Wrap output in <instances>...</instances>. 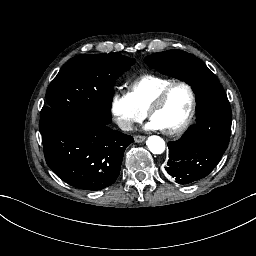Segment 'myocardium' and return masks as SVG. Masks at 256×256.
<instances>
[{
  "mask_svg": "<svg viewBox=\"0 0 256 256\" xmlns=\"http://www.w3.org/2000/svg\"><path fill=\"white\" fill-rule=\"evenodd\" d=\"M177 84L183 85L188 90V92L190 94V98H191V106H190L189 113H188L187 117L185 118V120L180 125L175 127L173 130H171L170 132H167L168 135H174V134L181 133L182 131H184L188 127L189 123L191 122V120L193 119V117L195 115L196 98H195V94H194V91H193L191 85L186 80H184L182 78H177L173 83L168 85L158 95V97L146 108L147 116L152 117L153 110L163 104V102L165 101V99L167 98V96L169 94V91L173 88V86H175Z\"/></svg>",
  "mask_w": 256,
  "mask_h": 256,
  "instance_id": "f54148a6",
  "label": "myocardium"
}]
</instances>
